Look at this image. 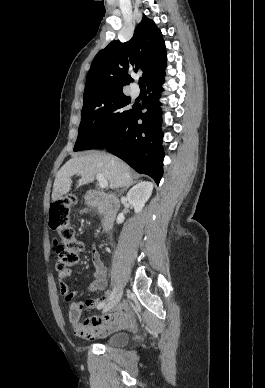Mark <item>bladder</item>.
Masks as SVG:
<instances>
[{
	"label": "bladder",
	"mask_w": 265,
	"mask_h": 388,
	"mask_svg": "<svg viewBox=\"0 0 265 388\" xmlns=\"http://www.w3.org/2000/svg\"><path fill=\"white\" fill-rule=\"evenodd\" d=\"M129 334L127 332H117L109 334L105 338L106 347H124L129 343Z\"/></svg>",
	"instance_id": "1"
}]
</instances>
